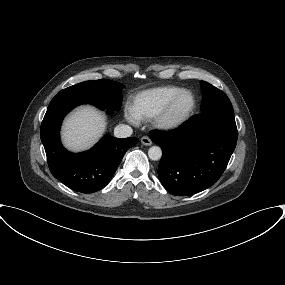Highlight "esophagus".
Segmentation results:
<instances>
[{
    "label": "esophagus",
    "instance_id": "34e87169",
    "mask_svg": "<svg viewBox=\"0 0 285 285\" xmlns=\"http://www.w3.org/2000/svg\"><path fill=\"white\" fill-rule=\"evenodd\" d=\"M141 143H142L143 145H146V146L152 145V141H151V139H150L148 136H143V137L141 138Z\"/></svg>",
    "mask_w": 285,
    "mask_h": 285
}]
</instances>
